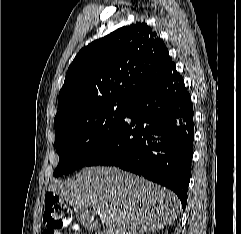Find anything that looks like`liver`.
Segmentation results:
<instances>
[{
	"mask_svg": "<svg viewBox=\"0 0 241 234\" xmlns=\"http://www.w3.org/2000/svg\"><path fill=\"white\" fill-rule=\"evenodd\" d=\"M50 190L75 211L92 208L106 234L158 231L177 219L181 206L172 191L116 167L83 168L76 178Z\"/></svg>",
	"mask_w": 241,
	"mask_h": 234,
	"instance_id": "6515ba94",
	"label": "liver"
}]
</instances>
